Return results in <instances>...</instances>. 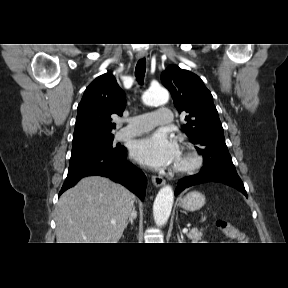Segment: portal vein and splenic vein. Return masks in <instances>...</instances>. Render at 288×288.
Here are the masks:
<instances>
[{
  "instance_id": "18ae733b",
  "label": "portal vein and splenic vein",
  "mask_w": 288,
  "mask_h": 288,
  "mask_svg": "<svg viewBox=\"0 0 288 288\" xmlns=\"http://www.w3.org/2000/svg\"><path fill=\"white\" fill-rule=\"evenodd\" d=\"M182 232H183L184 234H186V233L188 232V229H187V228H184V229L182 230Z\"/></svg>"
}]
</instances>
